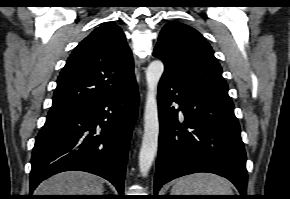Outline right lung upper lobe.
Segmentation results:
<instances>
[{
	"mask_svg": "<svg viewBox=\"0 0 290 199\" xmlns=\"http://www.w3.org/2000/svg\"><path fill=\"white\" fill-rule=\"evenodd\" d=\"M133 57L113 23L95 29L74 49L61 71L49 113L85 105L126 90L134 81Z\"/></svg>",
	"mask_w": 290,
	"mask_h": 199,
	"instance_id": "obj_1",
	"label": "right lung upper lobe"
}]
</instances>
